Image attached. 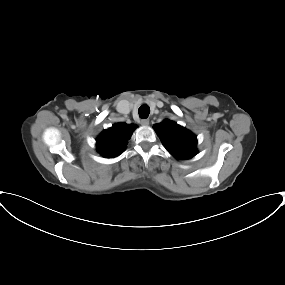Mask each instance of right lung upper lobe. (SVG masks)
Masks as SVG:
<instances>
[{
	"instance_id": "right-lung-upper-lobe-1",
	"label": "right lung upper lobe",
	"mask_w": 285,
	"mask_h": 285,
	"mask_svg": "<svg viewBox=\"0 0 285 285\" xmlns=\"http://www.w3.org/2000/svg\"><path fill=\"white\" fill-rule=\"evenodd\" d=\"M136 127L133 124L118 123L104 130L97 138L98 152L105 158L119 156Z\"/></svg>"
}]
</instances>
